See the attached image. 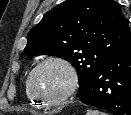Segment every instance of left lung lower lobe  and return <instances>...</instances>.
I'll return each instance as SVG.
<instances>
[{
    "label": "left lung lower lobe",
    "mask_w": 131,
    "mask_h": 115,
    "mask_svg": "<svg viewBox=\"0 0 131 115\" xmlns=\"http://www.w3.org/2000/svg\"><path fill=\"white\" fill-rule=\"evenodd\" d=\"M77 97L112 115H131V35Z\"/></svg>",
    "instance_id": "obj_1"
}]
</instances>
